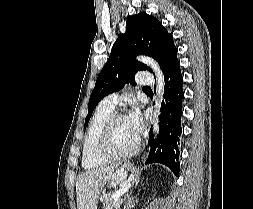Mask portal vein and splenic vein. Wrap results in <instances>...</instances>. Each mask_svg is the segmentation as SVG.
Returning <instances> with one entry per match:
<instances>
[{"label":"portal vein and splenic vein","mask_w":253,"mask_h":209,"mask_svg":"<svg viewBox=\"0 0 253 209\" xmlns=\"http://www.w3.org/2000/svg\"><path fill=\"white\" fill-rule=\"evenodd\" d=\"M129 188H130V184H127L126 186L120 188L118 191H116L113 194V199L117 200L121 195L125 194Z\"/></svg>","instance_id":"18ae733b"}]
</instances>
